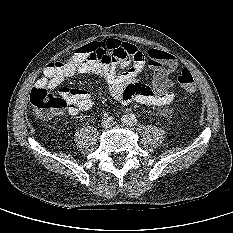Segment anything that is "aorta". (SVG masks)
Returning <instances> with one entry per match:
<instances>
[{
	"label": "aorta",
	"instance_id": "1",
	"mask_svg": "<svg viewBox=\"0 0 233 233\" xmlns=\"http://www.w3.org/2000/svg\"><path fill=\"white\" fill-rule=\"evenodd\" d=\"M123 122L126 125L134 126L137 122V118L134 114H128V115H125Z\"/></svg>",
	"mask_w": 233,
	"mask_h": 233
}]
</instances>
